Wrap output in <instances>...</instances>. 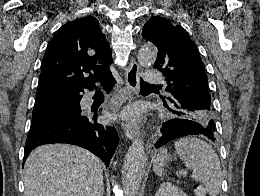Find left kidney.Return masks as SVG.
Returning a JSON list of instances; mask_svg holds the SVG:
<instances>
[{"instance_id":"5707ae66","label":"left kidney","mask_w":260,"mask_h":196,"mask_svg":"<svg viewBox=\"0 0 260 196\" xmlns=\"http://www.w3.org/2000/svg\"><path fill=\"white\" fill-rule=\"evenodd\" d=\"M155 196H186V194L178 186H174L170 182H164V184H160Z\"/></svg>"}]
</instances>
